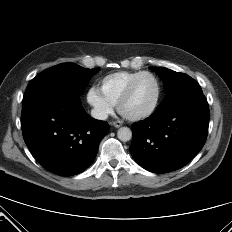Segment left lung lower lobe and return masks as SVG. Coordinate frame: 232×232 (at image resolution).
Wrapping results in <instances>:
<instances>
[{"label": "left lung lower lobe", "mask_w": 232, "mask_h": 232, "mask_svg": "<svg viewBox=\"0 0 232 232\" xmlns=\"http://www.w3.org/2000/svg\"><path fill=\"white\" fill-rule=\"evenodd\" d=\"M209 118L208 103L201 88L192 90L132 125L131 155L150 172L180 169L205 144Z\"/></svg>", "instance_id": "left-lung-lower-lobe-1"}]
</instances>
